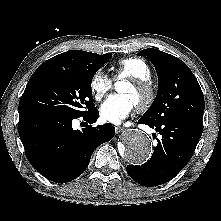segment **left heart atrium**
I'll use <instances>...</instances> for the list:
<instances>
[{
  "instance_id": "39dd6f15",
  "label": "left heart atrium",
  "mask_w": 221,
  "mask_h": 221,
  "mask_svg": "<svg viewBox=\"0 0 221 221\" xmlns=\"http://www.w3.org/2000/svg\"><path fill=\"white\" fill-rule=\"evenodd\" d=\"M135 104L128 95L114 94L108 97L100 107V117L106 122L119 124L134 110Z\"/></svg>"
}]
</instances>
